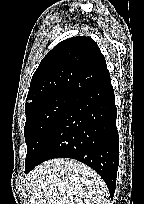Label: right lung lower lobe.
Returning a JSON list of instances; mask_svg holds the SVG:
<instances>
[{"instance_id": "98d812e1", "label": "right lung lower lobe", "mask_w": 144, "mask_h": 204, "mask_svg": "<svg viewBox=\"0 0 144 204\" xmlns=\"http://www.w3.org/2000/svg\"><path fill=\"white\" fill-rule=\"evenodd\" d=\"M117 109L110 77L75 95L38 151L30 172L53 158H73L93 168L113 198L119 164Z\"/></svg>"}]
</instances>
